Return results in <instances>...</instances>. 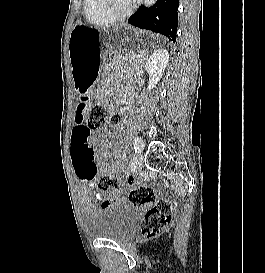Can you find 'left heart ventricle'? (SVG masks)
Instances as JSON below:
<instances>
[{
	"instance_id": "obj_1",
	"label": "left heart ventricle",
	"mask_w": 265,
	"mask_h": 273,
	"mask_svg": "<svg viewBox=\"0 0 265 273\" xmlns=\"http://www.w3.org/2000/svg\"><path fill=\"white\" fill-rule=\"evenodd\" d=\"M134 0H112V7L117 11V12H123L127 10Z\"/></svg>"
}]
</instances>
